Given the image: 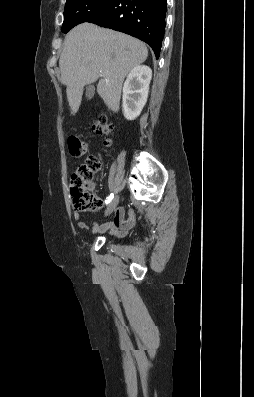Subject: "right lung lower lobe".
<instances>
[{"mask_svg": "<svg viewBox=\"0 0 254 397\" xmlns=\"http://www.w3.org/2000/svg\"><path fill=\"white\" fill-rule=\"evenodd\" d=\"M166 10V0H112L101 13L86 22L136 37L146 42L158 58Z\"/></svg>", "mask_w": 254, "mask_h": 397, "instance_id": "1", "label": "right lung lower lobe"}]
</instances>
